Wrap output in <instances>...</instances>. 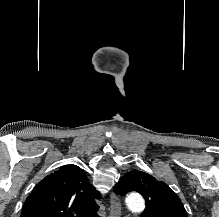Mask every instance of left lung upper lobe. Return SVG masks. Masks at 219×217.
<instances>
[{
  "mask_svg": "<svg viewBox=\"0 0 219 217\" xmlns=\"http://www.w3.org/2000/svg\"><path fill=\"white\" fill-rule=\"evenodd\" d=\"M131 191L139 192L145 199L146 208L141 217H187L177 194L148 173L132 170L120 178L114 188L118 195Z\"/></svg>",
  "mask_w": 219,
  "mask_h": 217,
  "instance_id": "5c2ea615",
  "label": "left lung upper lobe"
}]
</instances>
